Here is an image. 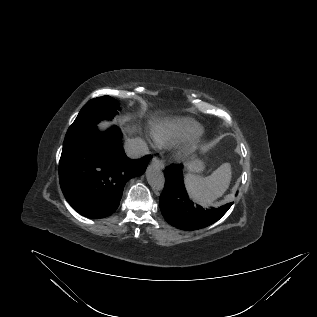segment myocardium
Masks as SVG:
<instances>
[{"instance_id": "f54148a6", "label": "myocardium", "mask_w": 317, "mask_h": 317, "mask_svg": "<svg viewBox=\"0 0 317 317\" xmlns=\"http://www.w3.org/2000/svg\"><path fill=\"white\" fill-rule=\"evenodd\" d=\"M194 150V145H186L178 150V152L176 153V158L178 160H185L194 152Z\"/></svg>"}]
</instances>
